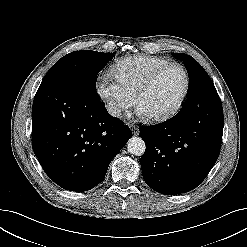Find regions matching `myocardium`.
Returning a JSON list of instances; mask_svg holds the SVG:
<instances>
[{
	"instance_id": "f54148a6",
	"label": "myocardium",
	"mask_w": 247,
	"mask_h": 247,
	"mask_svg": "<svg viewBox=\"0 0 247 247\" xmlns=\"http://www.w3.org/2000/svg\"><path fill=\"white\" fill-rule=\"evenodd\" d=\"M172 67H178L182 70L184 77H185V86L184 89L178 99V101L167 111L162 112L160 114H154V115H147L149 119L153 120V121H165L169 118H171L172 116H174L183 106L189 90H190V76L189 73L187 71V69L185 68V66H183L180 63L177 62H170L168 64H165L161 67H159L158 69L154 70L137 88L135 94H134V102L136 104L137 107H139V102L141 97L146 93V91H148L152 85L156 82L157 78L167 69L172 68Z\"/></svg>"
}]
</instances>
